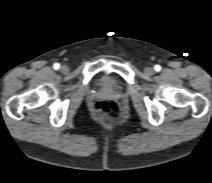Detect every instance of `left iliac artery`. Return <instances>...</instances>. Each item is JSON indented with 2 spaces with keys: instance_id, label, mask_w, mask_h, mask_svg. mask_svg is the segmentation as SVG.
I'll return each mask as SVG.
<instances>
[{
  "instance_id": "left-iliac-artery-1",
  "label": "left iliac artery",
  "mask_w": 212,
  "mask_h": 183,
  "mask_svg": "<svg viewBox=\"0 0 212 183\" xmlns=\"http://www.w3.org/2000/svg\"><path fill=\"white\" fill-rule=\"evenodd\" d=\"M154 69H155V71L159 72L161 70V66L160 65H155Z\"/></svg>"
}]
</instances>
